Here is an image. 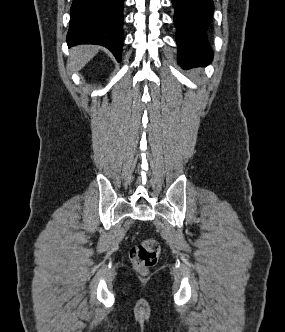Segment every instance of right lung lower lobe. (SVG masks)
<instances>
[{
  "mask_svg": "<svg viewBox=\"0 0 285 332\" xmlns=\"http://www.w3.org/2000/svg\"><path fill=\"white\" fill-rule=\"evenodd\" d=\"M124 0H73L68 46L98 44L121 59Z\"/></svg>",
  "mask_w": 285,
  "mask_h": 332,
  "instance_id": "obj_1",
  "label": "right lung lower lobe"
}]
</instances>
